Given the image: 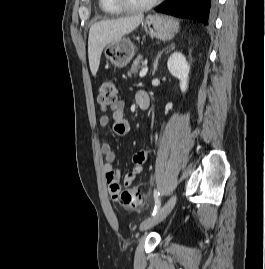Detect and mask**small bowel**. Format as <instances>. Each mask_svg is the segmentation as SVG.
Wrapping results in <instances>:
<instances>
[{
  "instance_id": "small-bowel-1",
  "label": "small bowel",
  "mask_w": 265,
  "mask_h": 269,
  "mask_svg": "<svg viewBox=\"0 0 265 269\" xmlns=\"http://www.w3.org/2000/svg\"><path fill=\"white\" fill-rule=\"evenodd\" d=\"M141 98H147L149 103L148 94L144 91H139L135 95V100L139 106H140L139 101L141 100ZM124 108L125 103L123 101L116 102V104L113 107L111 118L108 117L107 115H102L99 118V125L103 128H107L111 125L112 121L115 133L119 136L126 135L130 130V123L124 116ZM101 151L105 157V164L103 166V170L106 181L110 186V191L112 187H117L119 189L120 173L113 166V163L116 160V153L112 145L109 143H104L101 147ZM149 154H150L149 148L141 149L133 154L132 168L124 177V184L126 186L133 184L135 180L138 178V176L142 173L143 165L147 161Z\"/></svg>"
}]
</instances>
